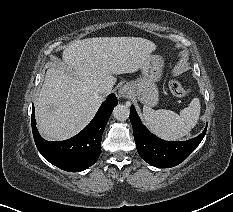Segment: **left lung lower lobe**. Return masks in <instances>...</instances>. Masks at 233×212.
<instances>
[{
  "instance_id": "1",
  "label": "left lung lower lobe",
  "mask_w": 233,
  "mask_h": 212,
  "mask_svg": "<svg viewBox=\"0 0 233 212\" xmlns=\"http://www.w3.org/2000/svg\"><path fill=\"white\" fill-rule=\"evenodd\" d=\"M130 121L140 157L150 165L159 168L174 167L184 161L200 144L207 129L206 126L199 136L188 141L170 142L162 140L148 131L133 105L130 108Z\"/></svg>"
}]
</instances>
